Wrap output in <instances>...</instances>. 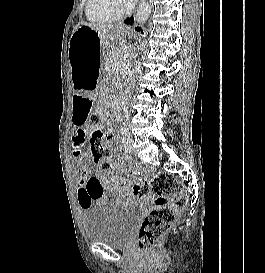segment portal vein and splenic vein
Segmentation results:
<instances>
[{
  "mask_svg": "<svg viewBox=\"0 0 265 273\" xmlns=\"http://www.w3.org/2000/svg\"><path fill=\"white\" fill-rule=\"evenodd\" d=\"M127 55H125L123 58H126ZM115 70H119V66L115 68Z\"/></svg>",
  "mask_w": 265,
  "mask_h": 273,
  "instance_id": "portal-vein-and-splenic-vein-1",
  "label": "portal vein and splenic vein"
}]
</instances>
